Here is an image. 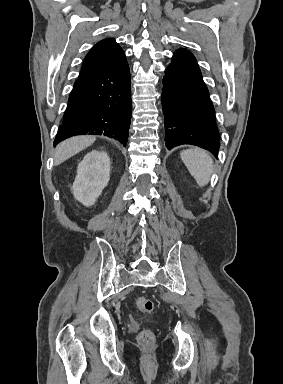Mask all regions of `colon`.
I'll return each instance as SVG.
<instances>
[{"instance_id": "5ec220e1", "label": "colon", "mask_w": 283, "mask_h": 384, "mask_svg": "<svg viewBox=\"0 0 283 384\" xmlns=\"http://www.w3.org/2000/svg\"><path fill=\"white\" fill-rule=\"evenodd\" d=\"M136 306L141 312H144L147 314L152 313L154 310V305L152 301L144 296H139L136 299ZM138 340L143 345H150L154 341V334L152 333V331L145 329L140 332L138 336Z\"/></svg>"}]
</instances>
